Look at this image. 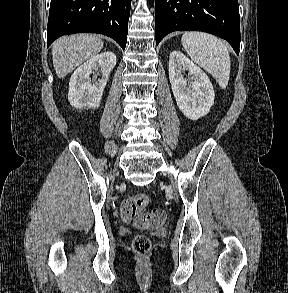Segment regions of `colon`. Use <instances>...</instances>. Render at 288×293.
<instances>
[{
  "instance_id": "5ec220e1",
  "label": "colon",
  "mask_w": 288,
  "mask_h": 293,
  "mask_svg": "<svg viewBox=\"0 0 288 293\" xmlns=\"http://www.w3.org/2000/svg\"><path fill=\"white\" fill-rule=\"evenodd\" d=\"M149 197L139 194L126 199L120 208V214L125 222L131 223L138 229H152L159 227L165 221L166 214L162 209L144 212ZM132 248L138 255H145L151 248L150 239L145 235H137L132 241Z\"/></svg>"
}]
</instances>
